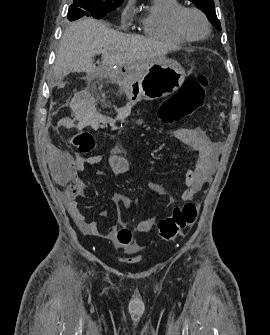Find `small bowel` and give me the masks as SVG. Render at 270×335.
Instances as JSON below:
<instances>
[{"instance_id":"small-bowel-1","label":"small bowel","mask_w":270,"mask_h":335,"mask_svg":"<svg viewBox=\"0 0 270 335\" xmlns=\"http://www.w3.org/2000/svg\"><path fill=\"white\" fill-rule=\"evenodd\" d=\"M192 137V147L198 151L199 158L194 169H190L185 175L186 189L181 195L182 201L191 200L201 188L212 180L214 172V164L217 152L220 148L219 142L210 140L202 130L196 129L190 132ZM45 161L46 165H52V173H56V178H69L68 185L64 196L68 212L81 231L90 236L101 234V229L97 222L87 221L85 214L79 207L78 199L83 196L86 189L85 183L77 176V171H82L87 165H95L101 162L102 156L99 154L89 157L68 158L66 149H59V144L45 145ZM108 163L112 172L116 175H123L129 172V161L122 155L120 148L116 147L112 150L108 157ZM148 189L161 196L163 190L161 185L156 181H149ZM111 200L117 209V220L120 226H124V218L121 209H130L131 201L128 196L115 192L111 196ZM174 200H169L167 205L173 204ZM102 217H106L108 212L103 210L100 212ZM155 222L154 217L144 219L137 225V230L141 233L148 232ZM116 232V226H110L107 235L113 236Z\"/></svg>"}]
</instances>
